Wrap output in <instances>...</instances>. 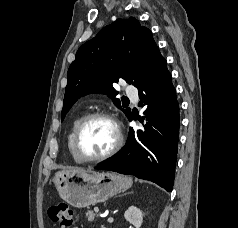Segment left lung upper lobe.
<instances>
[{"instance_id": "1", "label": "left lung upper lobe", "mask_w": 238, "mask_h": 228, "mask_svg": "<svg viewBox=\"0 0 238 228\" xmlns=\"http://www.w3.org/2000/svg\"><path fill=\"white\" fill-rule=\"evenodd\" d=\"M157 48L151 31L134 17L104 27L78 49L69 67L61 120L80 97L90 93L107 94L129 117L131 109L115 99L118 92L112 84L124 79L137 87Z\"/></svg>"}]
</instances>
